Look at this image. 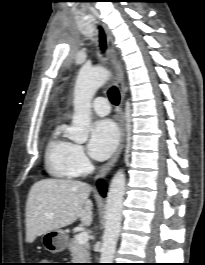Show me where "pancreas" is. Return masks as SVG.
<instances>
[{"mask_svg": "<svg viewBox=\"0 0 205 265\" xmlns=\"http://www.w3.org/2000/svg\"><path fill=\"white\" fill-rule=\"evenodd\" d=\"M69 251L74 263H88L90 260V246L88 243L80 244L77 236L70 240Z\"/></svg>", "mask_w": 205, "mask_h": 265, "instance_id": "1", "label": "pancreas"}]
</instances>
